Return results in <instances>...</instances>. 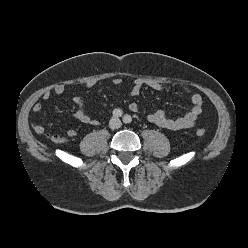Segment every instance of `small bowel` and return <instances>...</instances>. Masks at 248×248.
<instances>
[{
	"label": "small bowel",
	"instance_id": "c3829d8e",
	"mask_svg": "<svg viewBox=\"0 0 248 248\" xmlns=\"http://www.w3.org/2000/svg\"><path fill=\"white\" fill-rule=\"evenodd\" d=\"M121 83H122L121 78L117 77L113 79V84L120 85ZM95 84H96L95 81H88L85 83V87L90 88L93 87ZM145 86L157 91H165L173 88L176 91L190 95V100L192 103L191 110L187 112L185 115L178 118H170L163 110H157L148 116V120L151 123L168 130L188 129L196 125L198 118L202 113V108H203V99L200 94L195 93L189 86L185 84H176L170 87L160 81L151 80V79L150 80L135 79L132 83L130 94L132 96H138L141 90ZM64 92H65V87L63 85H57L52 91L44 92L41 98L44 101H47L51 98L52 94L56 96H60ZM73 102L77 107V109L73 113V117L76 120L93 126L99 124V121L97 119L92 118L88 114L84 99L81 96H74ZM41 109H42V105L40 102H35L34 105L32 106V111L34 113L40 112ZM129 109L132 112H137L139 110V106L137 103L132 102L129 105ZM50 127L51 124H42L38 121L32 122V128L37 134H43L45 130ZM76 135L77 132L74 129H69L67 131V136L70 138H74L76 137ZM54 136H59V135H54ZM54 136H52L51 139Z\"/></svg>",
	"mask_w": 248,
	"mask_h": 248
}]
</instances>
